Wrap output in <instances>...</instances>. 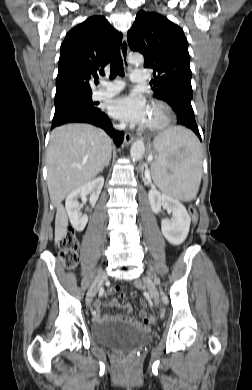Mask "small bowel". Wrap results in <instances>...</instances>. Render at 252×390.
Listing matches in <instances>:
<instances>
[{"instance_id": "small-bowel-1", "label": "small bowel", "mask_w": 252, "mask_h": 390, "mask_svg": "<svg viewBox=\"0 0 252 390\" xmlns=\"http://www.w3.org/2000/svg\"><path fill=\"white\" fill-rule=\"evenodd\" d=\"M114 292L113 289H108L107 292L104 294L105 296H109ZM120 297H124L123 295H120ZM110 307L117 308L119 306V302L116 299H112L110 303L108 304ZM142 308L140 310V317L141 320H138L136 318H133L129 316L128 314H122V315H115V316H110V315H102L100 313V309L103 306V303L100 301H96L94 303V312L95 315H93V320L95 322H100V321H117L121 323H126L129 324L137 329H147L151 323L154 322V318L152 316H148L147 314V309H146V304L144 301H141ZM126 309L128 313L131 312L132 307L130 304H126Z\"/></svg>"}]
</instances>
